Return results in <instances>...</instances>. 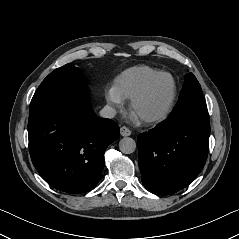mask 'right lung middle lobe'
Masks as SVG:
<instances>
[{"label":"right lung middle lobe","instance_id":"right-lung-middle-lobe-1","mask_svg":"<svg viewBox=\"0 0 239 239\" xmlns=\"http://www.w3.org/2000/svg\"><path fill=\"white\" fill-rule=\"evenodd\" d=\"M84 83L85 80L81 70L73 64L68 63L55 69L43 80L36 90L30 105L35 104L41 98L55 90L72 85H83Z\"/></svg>","mask_w":239,"mask_h":239}]
</instances>
